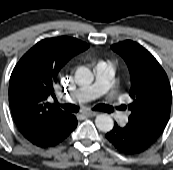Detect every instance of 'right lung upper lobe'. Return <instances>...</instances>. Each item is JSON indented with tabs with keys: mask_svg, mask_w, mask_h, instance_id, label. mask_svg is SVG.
<instances>
[{
	"mask_svg": "<svg viewBox=\"0 0 173 170\" xmlns=\"http://www.w3.org/2000/svg\"><path fill=\"white\" fill-rule=\"evenodd\" d=\"M88 44L71 37L41 40L17 63L9 82V105L23 136L63 120L68 113L48 101L54 97L58 74Z\"/></svg>",
	"mask_w": 173,
	"mask_h": 170,
	"instance_id": "cb5924a9",
	"label": "right lung upper lobe"
}]
</instances>
